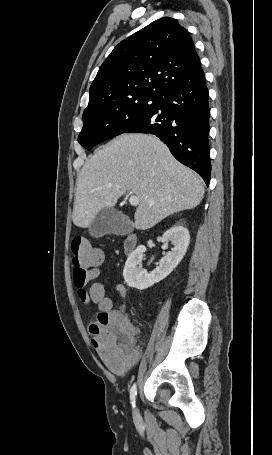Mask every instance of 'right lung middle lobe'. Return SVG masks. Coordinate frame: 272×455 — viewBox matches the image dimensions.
Returning a JSON list of instances; mask_svg holds the SVG:
<instances>
[{
    "mask_svg": "<svg viewBox=\"0 0 272 455\" xmlns=\"http://www.w3.org/2000/svg\"><path fill=\"white\" fill-rule=\"evenodd\" d=\"M161 96L135 95L113 101L83 113L79 143L87 150L107 139L125 133L132 125L152 113Z\"/></svg>",
    "mask_w": 272,
    "mask_h": 455,
    "instance_id": "dd1d6c3e",
    "label": "right lung middle lobe"
}]
</instances>
